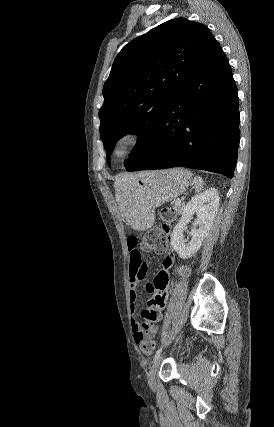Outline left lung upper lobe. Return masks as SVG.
Here are the masks:
<instances>
[{
  "label": "left lung upper lobe",
  "mask_w": 274,
  "mask_h": 427,
  "mask_svg": "<svg viewBox=\"0 0 274 427\" xmlns=\"http://www.w3.org/2000/svg\"><path fill=\"white\" fill-rule=\"evenodd\" d=\"M213 40L205 25L176 18L123 47L104 84L99 112L108 163L115 143L129 133L141 140L124 161L125 167L147 151L177 91Z\"/></svg>",
  "instance_id": "5c2ea615"
}]
</instances>
